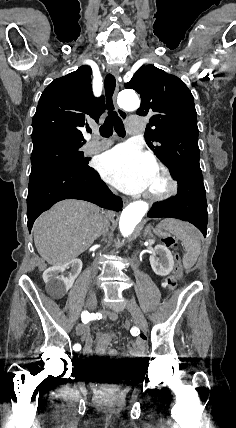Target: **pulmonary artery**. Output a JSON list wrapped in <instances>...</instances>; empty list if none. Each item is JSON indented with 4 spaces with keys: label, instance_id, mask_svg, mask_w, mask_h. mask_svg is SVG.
<instances>
[{
    "label": "pulmonary artery",
    "instance_id": "pulmonary-artery-1",
    "mask_svg": "<svg viewBox=\"0 0 236 428\" xmlns=\"http://www.w3.org/2000/svg\"><path fill=\"white\" fill-rule=\"evenodd\" d=\"M112 143H113L112 141L104 142V141L92 140L86 145L85 152L87 154L100 153L105 149H107Z\"/></svg>",
    "mask_w": 236,
    "mask_h": 428
}]
</instances>
